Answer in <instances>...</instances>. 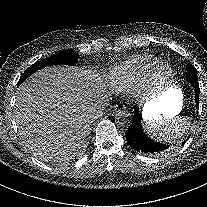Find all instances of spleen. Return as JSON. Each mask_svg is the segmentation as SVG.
<instances>
[{
  "label": "spleen",
  "instance_id": "3e777b00",
  "mask_svg": "<svg viewBox=\"0 0 207 207\" xmlns=\"http://www.w3.org/2000/svg\"><path fill=\"white\" fill-rule=\"evenodd\" d=\"M193 126V121L188 116H177L173 119H148L143 124V129L149 134L150 139L157 144L177 141L185 136Z\"/></svg>",
  "mask_w": 207,
  "mask_h": 207
}]
</instances>
